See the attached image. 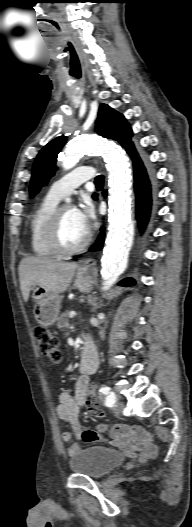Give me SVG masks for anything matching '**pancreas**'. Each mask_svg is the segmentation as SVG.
Wrapping results in <instances>:
<instances>
[{
  "label": "pancreas",
  "instance_id": "pancreas-1",
  "mask_svg": "<svg viewBox=\"0 0 192 527\" xmlns=\"http://www.w3.org/2000/svg\"><path fill=\"white\" fill-rule=\"evenodd\" d=\"M69 313H70L69 311H66L60 315V317L58 318V324H57L59 328H64L68 326Z\"/></svg>",
  "mask_w": 192,
  "mask_h": 527
}]
</instances>
